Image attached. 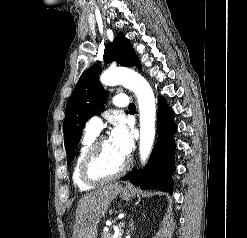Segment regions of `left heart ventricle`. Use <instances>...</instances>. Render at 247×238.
<instances>
[{
    "label": "left heart ventricle",
    "mask_w": 247,
    "mask_h": 238,
    "mask_svg": "<svg viewBox=\"0 0 247 238\" xmlns=\"http://www.w3.org/2000/svg\"><path fill=\"white\" fill-rule=\"evenodd\" d=\"M124 158L112 145L110 140H106L102 145L100 157L96 168L98 171L106 174L117 172L125 163Z\"/></svg>",
    "instance_id": "left-heart-ventricle-1"
}]
</instances>
